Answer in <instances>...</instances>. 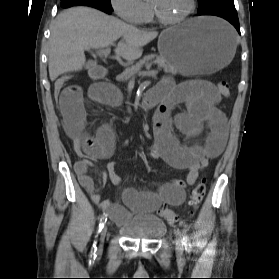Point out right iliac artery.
<instances>
[{
  "label": "right iliac artery",
  "instance_id": "right-iliac-artery-1",
  "mask_svg": "<svg viewBox=\"0 0 279 279\" xmlns=\"http://www.w3.org/2000/svg\"><path fill=\"white\" fill-rule=\"evenodd\" d=\"M106 221H107V214L104 213V214L102 215V217H101V219H100V222H99V225H98V233L101 232V230L103 229V227H104ZM96 251H97L96 242H94L93 247H92V250H91V255H95Z\"/></svg>",
  "mask_w": 279,
  "mask_h": 279
}]
</instances>
